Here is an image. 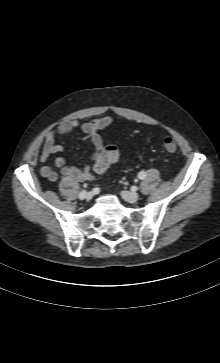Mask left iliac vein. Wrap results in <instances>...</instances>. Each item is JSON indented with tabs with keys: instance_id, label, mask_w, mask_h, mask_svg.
<instances>
[{
	"instance_id": "obj_1",
	"label": "left iliac vein",
	"mask_w": 220,
	"mask_h": 363,
	"mask_svg": "<svg viewBox=\"0 0 220 363\" xmlns=\"http://www.w3.org/2000/svg\"><path fill=\"white\" fill-rule=\"evenodd\" d=\"M121 195L129 203H135L139 199V194L135 191H122Z\"/></svg>"
}]
</instances>
